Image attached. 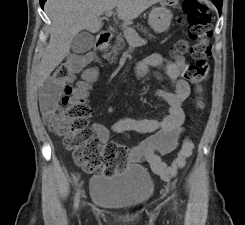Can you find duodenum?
Wrapping results in <instances>:
<instances>
[{
    "label": "duodenum",
    "mask_w": 245,
    "mask_h": 225,
    "mask_svg": "<svg viewBox=\"0 0 245 225\" xmlns=\"http://www.w3.org/2000/svg\"><path fill=\"white\" fill-rule=\"evenodd\" d=\"M111 40V33L109 31H101L97 34L96 45L99 50H104Z\"/></svg>",
    "instance_id": "duodenum-1"
}]
</instances>
